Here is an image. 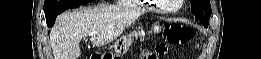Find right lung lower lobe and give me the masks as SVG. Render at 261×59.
Masks as SVG:
<instances>
[{
	"mask_svg": "<svg viewBox=\"0 0 261 59\" xmlns=\"http://www.w3.org/2000/svg\"><path fill=\"white\" fill-rule=\"evenodd\" d=\"M79 6H80V5H70V6H67V7L63 8L62 10L58 11L57 13H55V14H53V15H51V16L46 17L47 26L52 27V26L54 25V23H55L56 17H57L60 13L64 12V11L67 10V9L77 8V7H79Z\"/></svg>",
	"mask_w": 261,
	"mask_h": 59,
	"instance_id": "right-lung-lower-lobe-1",
	"label": "right lung lower lobe"
}]
</instances>
